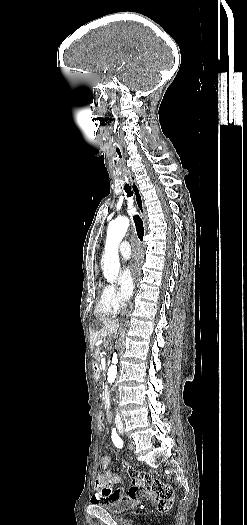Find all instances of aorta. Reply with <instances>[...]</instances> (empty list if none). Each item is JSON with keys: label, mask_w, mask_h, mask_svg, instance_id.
Wrapping results in <instances>:
<instances>
[{"label": "aorta", "mask_w": 247, "mask_h": 525, "mask_svg": "<svg viewBox=\"0 0 247 525\" xmlns=\"http://www.w3.org/2000/svg\"><path fill=\"white\" fill-rule=\"evenodd\" d=\"M129 226V219L127 217H119L111 221L108 225L105 252L103 256V275L108 282H113L117 279L120 269L118 247L123 237L125 236ZM117 354L114 353L112 357V365L108 369L107 380L109 383L115 381L117 375Z\"/></svg>", "instance_id": "762f6f07"}]
</instances>
